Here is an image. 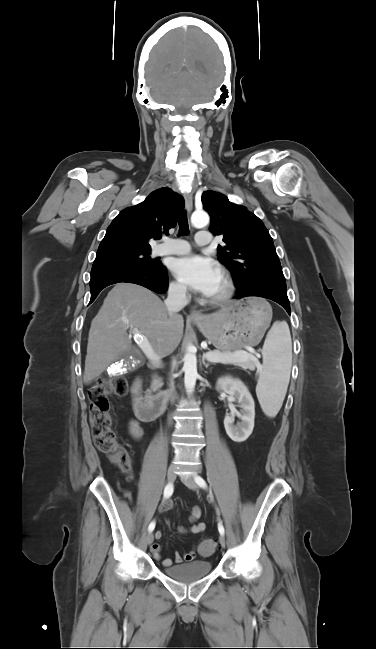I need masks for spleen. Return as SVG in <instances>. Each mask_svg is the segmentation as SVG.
<instances>
[{"label":"spleen","mask_w":376,"mask_h":649,"mask_svg":"<svg viewBox=\"0 0 376 649\" xmlns=\"http://www.w3.org/2000/svg\"><path fill=\"white\" fill-rule=\"evenodd\" d=\"M292 365V341L287 323H275L263 346V364L256 394L264 413L275 417L285 398Z\"/></svg>","instance_id":"3e777b00"}]
</instances>
